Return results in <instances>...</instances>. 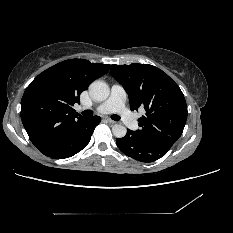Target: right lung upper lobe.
Instances as JSON below:
<instances>
[{"label": "right lung upper lobe", "mask_w": 233, "mask_h": 233, "mask_svg": "<svg viewBox=\"0 0 233 233\" xmlns=\"http://www.w3.org/2000/svg\"><path fill=\"white\" fill-rule=\"evenodd\" d=\"M109 66L69 59L43 71L30 83L21 100V119L37 149L53 146L85 119L73 106Z\"/></svg>", "instance_id": "1"}]
</instances>
